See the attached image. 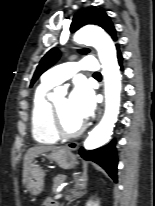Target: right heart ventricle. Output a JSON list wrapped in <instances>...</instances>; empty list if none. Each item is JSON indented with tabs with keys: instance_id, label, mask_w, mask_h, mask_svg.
I'll list each match as a JSON object with an SVG mask.
<instances>
[{
	"instance_id": "obj_1",
	"label": "right heart ventricle",
	"mask_w": 155,
	"mask_h": 206,
	"mask_svg": "<svg viewBox=\"0 0 155 206\" xmlns=\"http://www.w3.org/2000/svg\"><path fill=\"white\" fill-rule=\"evenodd\" d=\"M53 84L42 81L36 89L31 108V130L34 139L41 144H52L59 139L51 120V103L47 93Z\"/></svg>"
}]
</instances>
